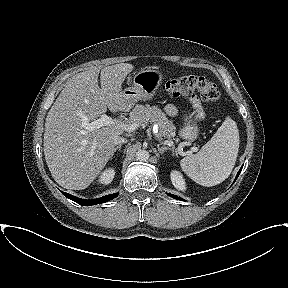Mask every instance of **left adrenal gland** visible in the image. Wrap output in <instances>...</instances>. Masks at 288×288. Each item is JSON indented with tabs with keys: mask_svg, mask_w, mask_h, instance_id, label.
I'll return each instance as SVG.
<instances>
[{
	"mask_svg": "<svg viewBox=\"0 0 288 288\" xmlns=\"http://www.w3.org/2000/svg\"><path fill=\"white\" fill-rule=\"evenodd\" d=\"M157 148H158L159 153L161 154L166 150H171V148H168L166 146H160V145H157Z\"/></svg>",
	"mask_w": 288,
	"mask_h": 288,
	"instance_id": "a2214340",
	"label": "left adrenal gland"
}]
</instances>
